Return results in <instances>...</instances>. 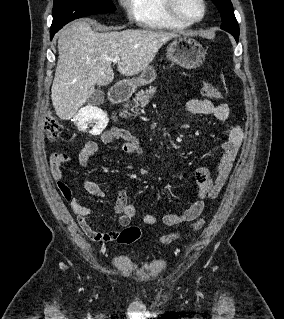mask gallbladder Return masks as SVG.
I'll list each match as a JSON object with an SVG mask.
<instances>
[{"label": "gallbladder", "instance_id": "obj_1", "mask_svg": "<svg viewBox=\"0 0 284 319\" xmlns=\"http://www.w3.org/2000/svg\"><path fill=\"white\" fill-rule=\"evenodd\" d=\"M104 102V92L100 89L94 91V93L88 99L90 105H100Z\"/></svg>", "mask_w": 284, "mask_h": 319}]
</instances>
